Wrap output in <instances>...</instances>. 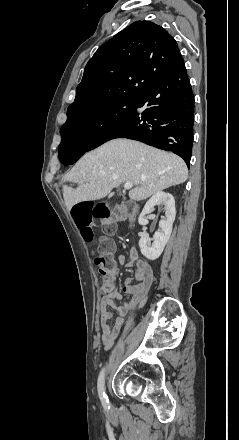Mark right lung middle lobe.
I'll return each mask as SVG.
<instances>
[{"label": "right lung middle lobe", "mask_w": 239, "mask_h": 440, "mask_svg": "<svg viewBox=\"0 0 239 440\" xmlns=\"http://www.w3.org/2000/svg\"><path fill=\"white\" fill-rule=\"evenodd\" d=\"M138 98L116 97L67 119L62 126L58 152L67 147L87 148L102 132L125 119Z\"/></svg>", "instance_id": "obj_1"}]
</instances>
